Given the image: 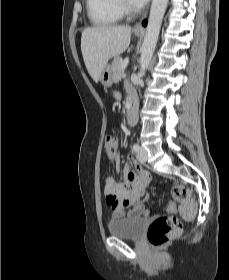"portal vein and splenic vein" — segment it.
<instances>
[{
  "instance_id": "portal-vein-and-splenic-vein-1",
  "label": "portal vein and splenic vein",
  "mask_w": 229,
  "mask_h": 280,
  "mask_svg": "<svg viewBox=\"0 0 229 280\" xmlns=\"http://www.w3.org/2000/svg\"><path fill=\"white\" fill-rule=\"evenodd\" d=\"M128 62H129V58L126 57L122 62V65H121L122 69H125L127 67Z\"/></svg>"
}]
</instances>
